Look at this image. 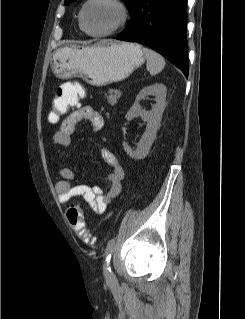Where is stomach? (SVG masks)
I'll return each instance as SVG.
<instances>
[{
    "mask_svg": "<svg viewBox=\"0 0 245 319\" xmlns=\"http://www.w3.org/2000/svg\"><path fill=\"white\" fill-rule=\"evenodd\" d=\"M144 61L141 45L108 41L61 47L53 54L51 69L60 79L82 77L92 85L103 86L127 78Z\"/></svg>",
    "mask_w": 245,
    "mask_h": 319,
    "instance_id": "0dacf381",
    "label": "stomach"
}]
</instances>
